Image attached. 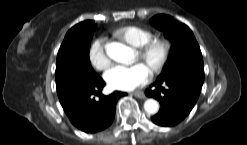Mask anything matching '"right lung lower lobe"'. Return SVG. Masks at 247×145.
I'll return each instance as SVG.
<instances>
[{
	"label": "right lung lower lobe",
	"mask_w": 247,
	"mask_h": 145,
	"mask_svg": "<svg viewBox=\"0 0 247 145\" xmlns=\"http://www.w3.org/2000/svg\"><path fill=\"white\" fill-rule=\"evenodd\" d=\"M105 82L101 77L78 79L57 88L61 105L71 123L86 133L101 131L111 125L117 100L124 92L100 95ZM94 95H99L95 100Z\"/></svg>",
	"instance_id": "obj_1"
}]
</instances>
